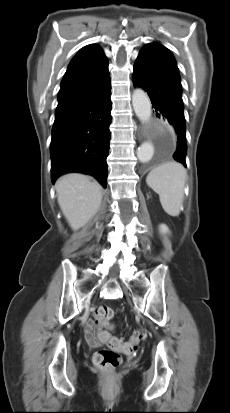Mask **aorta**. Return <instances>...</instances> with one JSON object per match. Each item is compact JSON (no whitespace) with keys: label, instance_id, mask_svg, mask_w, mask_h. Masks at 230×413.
Listing matches in <instances>:
<instances>
[{"label":"aorta","instance_id":"obj_1","mask_svg":"<svg viewBox=\"0 0 230 413\" xmlns=\"http://www.w3.org/2000/svg\"><path fill=\"white\" fill-rule=\"evenodd\" d=\"M132 105L138 119L147 123L150 121L152 110L150 99L141 88H136L132 94ZM154 154V146L150 141H146L141 144L137 150V157L140 162L146 163L149 162Z\"/></svg>","mask_w":230,"mask_h":413}]
</instances>
